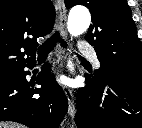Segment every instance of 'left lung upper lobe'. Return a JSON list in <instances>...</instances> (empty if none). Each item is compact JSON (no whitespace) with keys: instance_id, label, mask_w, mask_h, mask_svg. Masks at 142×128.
<instances>
[{"instance_id":"1","label":"left lung upper lobe","mask_w":142,"mask_h":128,"mask_svg":"<svg viewBox=\"0 0 142 128\" xmlns=\"http://www.w3.org/2000/svg\"><path fill=\"white\" fill-rule=\"evenodd\" d=\"M67 8L86 6L92 24L86 40L101 63L97 76H128L142 80V46L126 0H65Z\"/></svg>"}]
</instances>
